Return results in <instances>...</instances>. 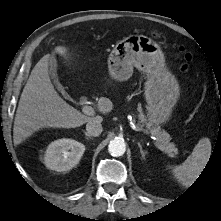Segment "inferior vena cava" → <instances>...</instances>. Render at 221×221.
I'll use <instances>...</instances> for the list:
<instances>
[{
    "label": "inferior vena cava",
    "mask_w": 221,
    "mask_h": 221,
    "mask_svg": "<svg viewBox=\"0 0 221 221\" xmlns=\"http://www.w3.org/2000/svg\"><path fill=\"white\" fill-rule=\"evenodd\" d=\"M86 131L90 136H99L102 131V125L100 121H91L86 124Z\"/></svg>",
    "instance_id": "inferior-vena-cava-1"
}]
</instances>
